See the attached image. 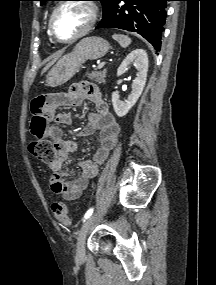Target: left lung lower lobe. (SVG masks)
<instances>
[{
  "label": "left lung lower lobe",
  "instance_id": "1",
  "mask_svg": "<svg viewBox=\"0 0 216 285\" xmlns=\"http://www.w3.org/2000/svg\"><path fill=\"white\" fill-rule=\"evenodd\" d=\"M170 0H113L98 28H119L136 32L159 51Z\"/></svg>",
  "mask_w": 216,
  "mask_h": 285
}]
</instances>
